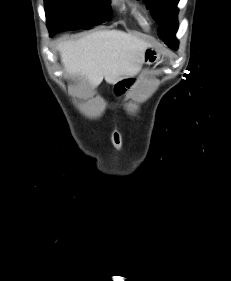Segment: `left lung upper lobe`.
I'll return each mask as SVG.
<instances>
[{
    "instance_id": "left-lung-upper-lobe-1",
    "label": "left lung upper lobe",
    "mask_w": 231,
    "mask_h": 281,
    "mask_svg": "<svg viewBox=\"0 0 231 281\" xmlns=\"http://www.w3.org/2000/svg\"><path fill=\"white\" fill-rule=\"evenodd\" d=\"M154 18L160 24L159 36L172 49H176L172 33L178 29L177 4L179 0H144ZM177 32V31H176Z\"/></svg>"
}]
</instances>
